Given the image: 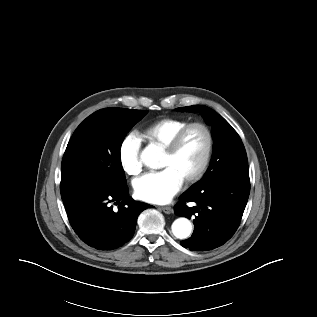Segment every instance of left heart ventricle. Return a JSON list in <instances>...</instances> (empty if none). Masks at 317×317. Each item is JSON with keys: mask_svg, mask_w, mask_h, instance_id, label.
I'll return each mask as SVG.
<instances>
[{"mask_svg": "<svg viewBox=\"0 0 317 317\" xmlns=\"http://www.w3.org/2000/svg\"><path fill=\"white\" fill-rule=\"evenodd\" d=\"M207 145L205 132L194 127L186 134L178 152L169 156L164 153L161 167H170L184 180L191 176L200 166Z\"/></svg>", "mask_w": 317, "mask_h": 317, "instance_id": "1", "label": "left heart ventricle"}]
</instances>
